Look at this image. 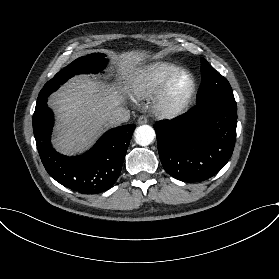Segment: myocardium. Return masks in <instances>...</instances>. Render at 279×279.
I'll return each instance as SVG.
<instances>
[{"label": "myocardium", "mask_w": 279, "mask_h": 279, "mask_svg": "<svg viewBox=\"0 0 279 279\" xmlns=\"http://www.w3.org/2000/svg\"><path fill=\"white\" fill-rule=\"evenodd\" d=\"M181 75H187L190 79V88L185 96L179 100H173L172 88L176 80ZM196 80L194 76L186 70L179 71L169 78L161 89L157 92L154 102L156 113L164 119H175L179 117L189 106L196 92Z\"/></svg>", "instance_id": "obj_1"}]
</instances>
